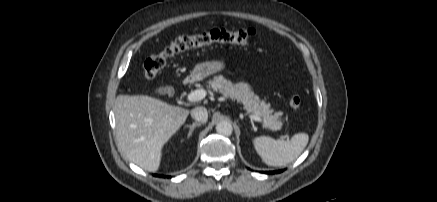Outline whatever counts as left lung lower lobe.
<instances>
[{"mask_svg": "<svg viewBox=\"0 0 437 202\" xmlns=\"http://www.w3.org/2000/svg\"><path fill=\"white\" fill-rule=\"evenodd\" d=\"M283 170H276V171H269V172H265L267 174H274V173H281Z\"/></svg>", "mask_w": 437, "mask_h": 202, "instance_id": "0a47b994", "label": "left lung lower lobe"}]
</instances>
